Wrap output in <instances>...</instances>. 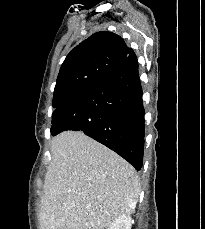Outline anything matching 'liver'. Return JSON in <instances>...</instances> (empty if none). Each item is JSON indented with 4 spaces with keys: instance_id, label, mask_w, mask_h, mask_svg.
I'll use <instances>...</instances> for the list:
<instances>
[{
    "instance_id": "obj_1",
    "label": "liver",
    "mask_w": 205,
    "mask_h": 229,
    "mask_svg": "<svg viewBox=\"0 0 205 229\" xmlns=\"http://www.w3.org/2000/svg\"><path fill=\"white\" fill-rule=\"evenodd\" d=\"M50 151L40 229H104L134 212L139 178L118 154L77 131L54 137Z\"/></svg>"
}]
</instances>
